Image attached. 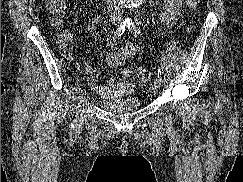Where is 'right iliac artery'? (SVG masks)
Wrapping results in <instances>:
<instances>
[{"instance_id": "obj_1", "label": "right iliac artery", "mask_w": 243, "mask_h": 182, "mask_svg": "<svg viewBox=\"0 0 243 182\" xmlns=\"http://www.w3.org/2000/svg\"><path fill=\"white\" fill-rule=\"evenodd\" d=\"M126 27H127V23H122L121 25H120V27H118L115 31H114V33L112 34L113 35V38H120L123 34H124V32H125V30H126ZM80 85H81V79H77L76 80V83H75V89H76V91H80ZM70 129L71 130H73L74 129V123H71V125H70Z\"/></svg>"}]
</instances>
